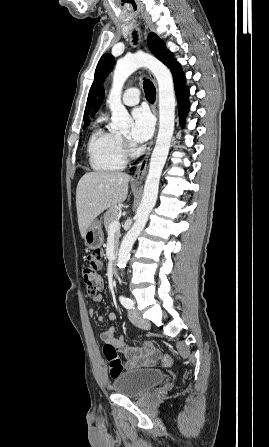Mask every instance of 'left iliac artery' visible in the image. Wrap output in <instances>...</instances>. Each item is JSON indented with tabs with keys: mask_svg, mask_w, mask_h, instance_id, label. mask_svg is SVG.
<instances>
[{
	"mask_svg": "<svg viewBox=\"0 0 269 447\" xmlns=\"http://www.w3.org/2000/svg\"><path fill=\"white\" fill-rule=\"evenodd\" d=\"M119 300L121 302V304L127 308V309H134V303L130 298L124 297V296H120Z\"/></svg>",
	"mask_w": 269,
	"mask_h": 447,
	"instance_id": "obj_1",
	"label": "left iliac artery"
}]
</instances>
